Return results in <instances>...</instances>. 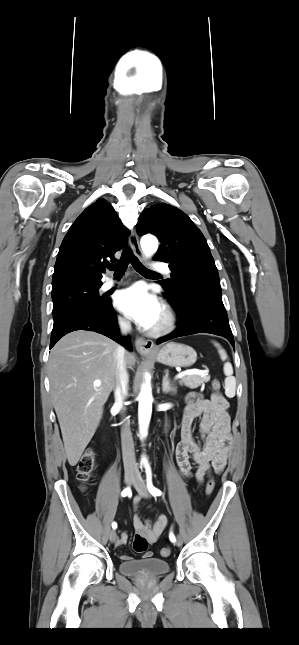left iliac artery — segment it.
<instances>
[{
    "instance_id": "44dca946",
    "label": "left iliac artery",
    "mask_w": 299,
    "mask_h": 645,
    "mask_svg": "<svg viewBox=\"0 0 299 645\" xmlns=\"http://www.w3.org/2000/svg\"><path fill=\"white\" fill-rule=\"evenodd\" d=\"M146 474H147V487H148L149 492L153 496H160L161 491L159 489H157L156 487H154L153 484H152V474H151V469H150L149 466H146ZM169 539H170L171 542L176 541L175 535L173 534L172 531L169 534Z\"/></svg>"
}]
</instances>
